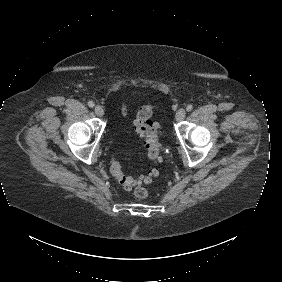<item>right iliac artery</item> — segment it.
<instances>
[{
	"label": "right iliac artery",
	"instance_id": "right-iliac-artery-1",
	"mask_svg": "<svg viewBox=\"0 0 282 282\" xmlns=\"http://www.w3.org/2000/svg\"><path fill=\"white\" fill-rule=\"evenodd\" d=\"M88 106L91 107V108H93V107H94V102H93V101H89V102H88Z\"/></svg>",
	"mask_w": 282,
	"mask_h": 282
}]
</instances>
